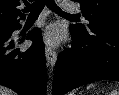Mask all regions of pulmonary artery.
I'll use <instances>...</instances> for the list:
<instances>
[{
    "instance_id": "1",
    "label": "pulmonary artery",
    "mask_w": 119,
    "mask_h": 95,
    "mask_svg": "<svg viewBox=\"0 0 119 95\" xmlns=\"http://www.w3.org/2000/svg\"><path fill=\"white\" fill-rule=\"evenodd\" d=\"M63 7L67 11H78V8L75 5L68 2H64Z\"/></svg>"
}]
</instances>
